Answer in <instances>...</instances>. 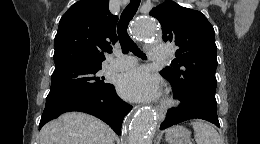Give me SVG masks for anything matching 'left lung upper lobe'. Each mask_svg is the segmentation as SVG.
I'll return each instance as SVG.
<instances>
[{
	"instance_id": "obj_1",
	"label": "left lung upper lobe",
	"mask_w": 260,
	"mask_h": 144,
	"mask_svg": "<svg viewBox=\"0 0 260 144\" xmlns=\"http://www.w3.org/2000/svg\"><path fill=\"white\" fill-rule=\"evenodd\" d=\"M149 15L160 22L163 40L178 48L175 64L160 71L171 83L174 95L184 98L195 92L215 98L217 47L210 22L201 12L171 0L153 8Z\"/></svg>"
}]
</instances>
